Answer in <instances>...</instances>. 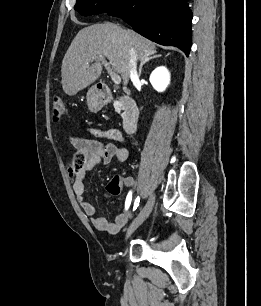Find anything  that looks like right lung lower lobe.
Here are the masks:
<instances>
[{"label": "right lung lower lobe", "instance_id": "1", "mask_svg": "<svg viewBox=\"0 0 261 306\" xmlns=\"http://www.w3.org/2000/svg\"><path fill=\"white\" fill-rule=\"evenodd\" d=\"M188 1L129 0L107 14L122 18L136 32L156 43L180 48L188 56L192 22Z\"/></svg>", "mask_w": 261, "mask_h": 306}]
</instances>
